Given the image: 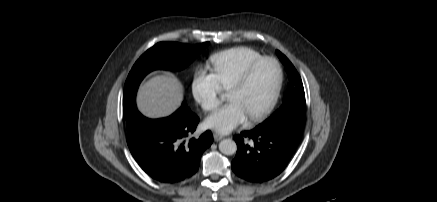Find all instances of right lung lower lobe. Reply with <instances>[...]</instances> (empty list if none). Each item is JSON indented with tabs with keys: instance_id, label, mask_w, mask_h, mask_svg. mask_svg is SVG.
Segmentation results:
<instances>
[{
	"instance_id": "obj_1",
	"label": "right lung lower lobe",
	"mask_w": 437,
	"mask_h": 202,
	"mask_svg": "<svg viewBox=\"0 0 437 202\" xmlns=\"http://www.w3.org/2000/svg\"><path fill=\"white\" fill-rule=\"evenodd\" d=\"M198 122L196 114L183 106L160 119H149L138 112L126 124L127 144L150 177L162 183H178L197 172L202 153L213 142L210 131L190 138Z\"/></svg>"
}]
</instances>
